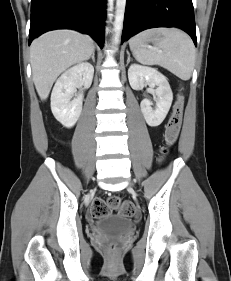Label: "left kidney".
Masks as SVG:
<instances>
[{"label":"left kidney","instance_id":"left-kidney-1","mask_svg":"<svg viewBox=\"0 0 231 281\" xmlns=\"http://www.w3.org/2000/svg\"><path fill=\"white\" fill-rule=\"evenodd\" d=\"M128 79L133 89H142L148 85L157 96L155 108L151 107L148 99L142 100L140 107L146 123L151 127L159 126L165 119L173 100V93L166 77L157 69L132 64L128 69Z\"/></svg>","mask_w":231,"mask_h":281}]
</instances>
